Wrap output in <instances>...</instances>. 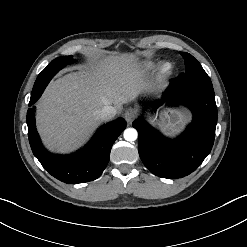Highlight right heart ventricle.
Here are the masks:
<instances>
[{
	"mask_svg": "<svg viewBox=\"0 0 247 247\" xmlns=\"http://www.w3.org/2000/svg\"><path fill=\"white\" fill-rule=\"evenodd\" d=\"M155 66H156V62H154V61H147L144 63V68L146 70H152L155 68Z\"/></svg>",
	"mask_w": 247,
	"mask_h": 247,
	"instance_id": "right-heart-ventricle-1",
	"label": "right heart ventricle"
}]
</instances>
